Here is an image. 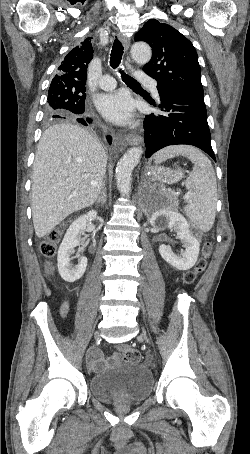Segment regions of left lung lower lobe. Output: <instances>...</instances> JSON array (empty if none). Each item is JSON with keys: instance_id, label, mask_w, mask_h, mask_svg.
Segmentation results:
<instances>
[{"instance_id": "0a47b994", "label": "left lung lower lobe", "mask_w": 250, "mask_h": 454, "mask_svg": "<svg viewBox=\"0 0 250 454\" xmlns=\"http://www.w3.org/2000/svg\"><path fill=\"white\" fill-rule=\"evenodd\" d=\"M158 92L162 113L147 115L144 120L145 157L169 145L186 144L202 149L216 161L203 94Z\"/></svg>"}]
</instances>
